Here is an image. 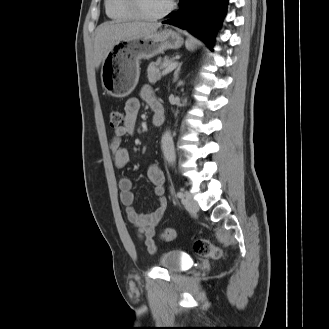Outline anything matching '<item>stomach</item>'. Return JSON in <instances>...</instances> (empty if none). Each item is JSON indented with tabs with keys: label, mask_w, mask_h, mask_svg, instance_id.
I'll return each mask as SVG.
<instances>
[{
	"label": "stomach",
	"mask_w": 329,
	"mask_h": 329,
	"mask_svg": "<svg viewBox=\"0 0 329 329\" xmlns=\"http://www.w3.org/2000/svg\"><path fill=\"white\" fill-rule=\"evenodd\" d=\"M182 44L181 35L171 29L117 41L102 62L103 88L113 97L128 96L138 83L141 59L178 49Z\"/></svg>",
	"instance_id": "0dacf381"
}]
</instances>
